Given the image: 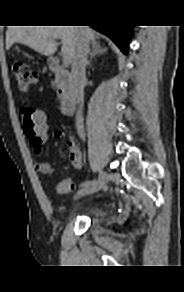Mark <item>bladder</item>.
Listing matches in <instances>:
<instances>
[{
  "mask_svg": "<svg viewBox=\"0 0 184 292\" xmlns=\"http://www.w3.org/2000/svg\"><path fill=\"white\" fill-rule=\"evenodd\" d=\"M86 215L95 219H100L104 215L103 207L99 204H91L87 206Z\"/></svg>",
  "mask_w": 184,
  "mask_h": 292,
  "instance_id": "1",
  "label": "bladder"
}]
</instances>
